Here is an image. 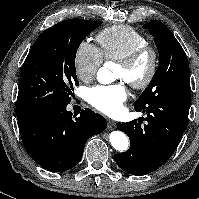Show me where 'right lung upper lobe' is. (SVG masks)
I'll return each instance as SVG.
<instances>
[{
  "instance_id": "obj_1",
  "label": "right lung upper lobe",
  "mask_w": 199,
  "mask_h": 199,
  "mask_svg": "<svg viewBox=\"0 0 199 199\" xmlns=\"http://www.w3.org/2000/svg\"><path fill=\"white\" fill-rule=\"evenodd\" d=\"M19 123V129L23 128L24 126H26L29 122H18Z\"/></svg>"
}]
</instances>
